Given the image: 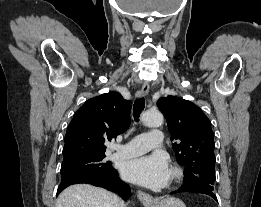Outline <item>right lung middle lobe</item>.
<instances>
[{
    "mask_svg": "<svg viewBox=\"0 0 261 207\" xmlns=\"http://www.w3.org/2000/svg\"><path fill=\"white\" fill-rule=\"evenodd\" d=\"M105 154L81 156L64 160L61 166V177L82 172H109L113 171L112 164L103 159Z\"/></svg>",
    "mask_w": 261,
    "mask_h": 207,
    "instance_id": "1",
    "label": "right lung middle lobe"
}]
</instances>
